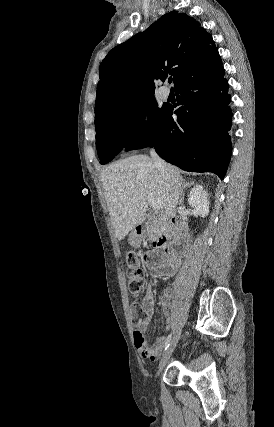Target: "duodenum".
Returning <instances> with one entry per match:
<instances>
[{"mask_svg":"<svg viewBox=\"0 0 274 427\" xmlns=\"http://www.w3.org/2000/svg\"><path fill=\"white\" fill-rule=\"evenodd\" d=\"M149 221L140 222L136 227L138 235H142ZM180 224L177 220L172 219L168 224H165V231L158 241V245L164 249L166 256H172V245L179 232Z\"/></svg>","mask_w":274,"mask_h":427,"instance_id":"410a0bca","label":"duodenum"}]
</instances>
